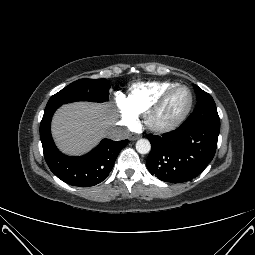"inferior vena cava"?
Masks as SVG:
<instances>
[{
    "instance_id": "1",
    "label": "inferior vena cava",
    "mask_w": 255,
    "mask_h": 255,
    "mask_svg": "<svg viewBox=\"0 0 255 255\" xmlns=\"http://www.w3.org/2000/svg\"><path fill=\"white\" fill-rule=\"evenodd\" d=\"M128 135H129L128 129L120 127L111 128L109 131H107V137L115 141L123 140L127 138Z\"/></svg>"
}]
</instances>
